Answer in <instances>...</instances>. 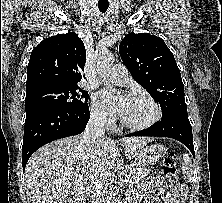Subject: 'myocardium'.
Wrapping results in <instances>:
<instances>
[{"label": "myocardium", "mask_w": 222, "mask_h": 203, "mask_svg": "<svg viewBox=\"0 0 222 203\" xmlns=\"http://www.w3.org/2000/svg\"><path fill=\"white\" fill-rule=\"evenodd\" d=\"M130 97H142L145 98L147 101H149L152 106L155 109V115L154 117L149 120L146 123H142V124H133L130 123L128 121H126L121 115H120V122L121 124L131 130H144V129H148L152 126H154L155 124H157L161 118H162V108L159 105V103L148 93L146 92H131L129 94Z\"/></svg>", "instance_id": "f54148a6"}]
</instances>
